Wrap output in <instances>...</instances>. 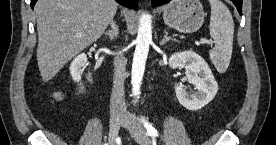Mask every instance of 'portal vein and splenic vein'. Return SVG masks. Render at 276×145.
<instances>
[{
	"label": "portal vein and splenic vein",
	"mask_w": 276,
	"mask_h": 145,
	"mask_svg": "<svg viewBox=\"0 0 276 145\" xmlns=\"http://www.w3.org/2000/svg\"><path fill=\"white\" fill-rule=\"evenodd\" d=\"M201 44H206V45H213V41L207 40V39H201L200 40Z\"/></svg>",
	"instance_id": "obj_1"
}]
</instances>
